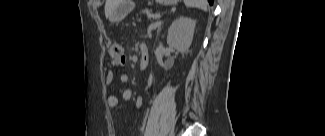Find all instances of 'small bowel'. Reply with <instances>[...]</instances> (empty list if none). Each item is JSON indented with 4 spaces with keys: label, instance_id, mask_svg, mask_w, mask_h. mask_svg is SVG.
<instances>
[{
    "label": "small bowel",
    "instance_id": "obj_1",
    "mask_svg": "<svg viewBox=\"0 0 325 136\" xmlns=\"http://www.w3.org/2000/svg\"><path fill=\"white\" fill-rule=\"evenodd\" d=\"M123 63H124V61H122V62H114V65H122ZM115 77H116L115 72L112 71V70H109L106 73V77H105L106 84H108V85L112 84L113 81L115 80ZM119 81L122 84L128 83L129 82L128 74H126V73L120 74L119 75ZM122 98L125 101H130L133 98L132 91L130 89H125L123 91V93H122ZM118 102H119V100H118L117 96H115V95H110L107 98V105L110 108H115L118 105ZM142 105H143V98L141 96L136 97L135 100H134V106L139 108Z\"/></svg>",
    "mask_w": 325,
    "mask_h": 136
}]
</instances>
